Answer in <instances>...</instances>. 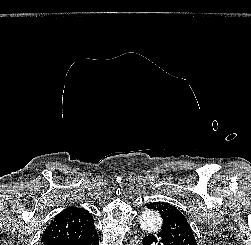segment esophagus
Returning a JSON list of instances; mask_svg holds the SVG:
<instances>
[{
	"instance_id": "esophagus-1",
	"label": "esophagus",
	"mask_w": 251,
	"mask_h": 245,
	"mask_svg": "<svg viewBox=\"0 0 251 245\" xmlns=\"http://www.w3.org/2000/svg\"><path fill=\"white\" fill-rule=\"evenodd\" d=\"M139 243H140V236L139 235L132 238L131 245H139Z\"/></svg>"
}]
</instances>
